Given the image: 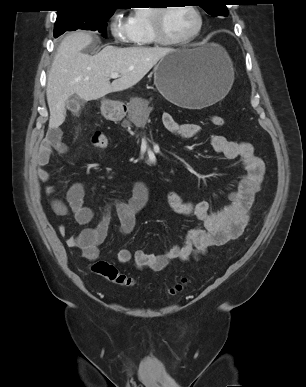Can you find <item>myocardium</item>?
I'll list each match as a JSON object with an SVG mask.
<instances>
[{"label":"myocardium","instance_id":"obj_1","mask_svg":"<svg viewBox=\"0 0 306 387\" xmlns=\"http://www.w3.org/2000/svg\"><path fill=\"white\" fill-rule=\"evenodd\" d=\"M195 15L197 23L195 29L185 38L171 39L168 38L163 29V17L169 9L167 6L156 7L150 13V29L155 43L163 46H182L194 41L203 29V15L196 5H186Z\"/></svg>","mask_w":306,"mask_h":387}]
</instances>
